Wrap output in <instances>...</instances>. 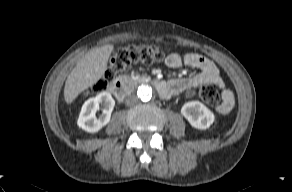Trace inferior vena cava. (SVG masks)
I'll list each match as a JSON object with an SVG mask.
<instances>
[{
    "label": "inferior vena cava",
    "instance_id": "602c4592",
    "mask_svg": "<svg viewBox=\"0 0 292 192\" xmlns=\"http://www.w3.org/2000/svg\"><path fill=\"white\" fill-rule=\"evenodd\" d=\"M137 102H138V98L136 95H133V94L127 96L125 99V104L128 106H132L136 104Z\"/></svg>",
    "mask_w": 292,
    "mask_h": 192
}]
</instances>
